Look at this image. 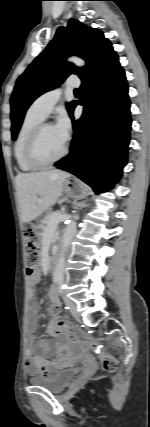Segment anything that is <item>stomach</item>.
Wrapping results in <instances>:
<instances>
[{
	"label": "stomach",
	"mask_w": 150,
	"mask_h": 427,
	"mask_svg": "<svg viewBox=\"0 0 150 427\" xmlns=\"http://www.w3.org/2000/svg\"><path fill=\"white\" fill-rule=\"evenodd\" d=\"M63 191L71 198H81L87 195L86 188L76 179L73 181L65 180L63 183Z\"/></svg>",
	"instance_id": "stomach-1"
}]
</instances>
